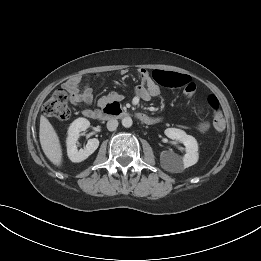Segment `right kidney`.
Listing matches in <instances>:
<instances>
[{
    "label": "right kidney",
    "instance_id": "obj_1",
    "mask_svg": "<svg viewBox=\"0 0 261 261\" xmlns=\"http://www.w3.org/2000/svg\"><path fill=\"white\" fill-rule=\"evenodd\" d=\"M90 126V122L85 118L74 120L69 129L67 137V154L72 162H82L87 159L99 146V140L96 138L89 139L84 149H77V141L80 132L85 131Z\"/></svg>",
    "mask_w": 261,
    "mask_h": 261
}]
</instances>
